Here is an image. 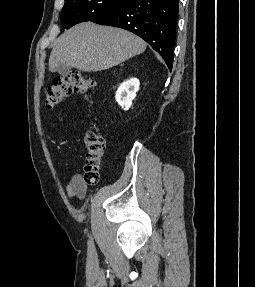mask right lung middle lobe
<instances>
[{"label": "right lung middle lobe", "instance_id": "dd1d6c3e", "mask_svg": "<svg viewBox=\"0 0 255 287\" xmlns=\"http://www.w3.org/2000/svg\"><path fill=\"white\" fill-rule=\"evenodd\" d=\"M123 2L125 0H65L61 11L62 26L69 29L80 22L92 21Z\"/></svg>", "mask_w": 255, "mask_h": 287}]
</instances>
